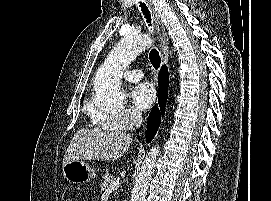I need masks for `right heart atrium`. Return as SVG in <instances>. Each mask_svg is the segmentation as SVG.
<instances>
[{
	"instance_id": "right-heart-atrium-1",
	"label": "right heart atrium",
	"mask_w": 271,
	"mask_h": 201,
	"mask_svg": "<svg viewBox=\"0 0 271 201\" xmlns=\"http://www.w3.org/2000/svg\"><path fill=\"white\" fill-rule=\"evenodd\" d=\"M91 118L99 127L118 128L130 130L141 120V115L136 110L126 108L116 114H107L100 110H92Z\"/></svg>"
}]
</instances>
